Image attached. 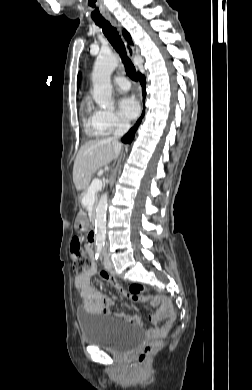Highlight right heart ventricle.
<instances>
[{
    "label": "right heart ventricle",
    "instance_id": "right-heart-ventricle-1",
    "mask_svg": "<svg viewBox=\"0 0 252 390\" xmlns=\"http://www.w3.org/2000/svg\"><path fill=\"white\" fill-rule=\"evenodd\" d=\"M89 108H87V112H89ZM85 130H86V133L91 136V135H95L96 133L94 132V129H93V121H92V116L88 117L85 121ZM97 135V134H96ZM100 136V135H98Z\"/></svg>",
    "mask_w": 252,
    "mask_h": 390
}]
</instances>
